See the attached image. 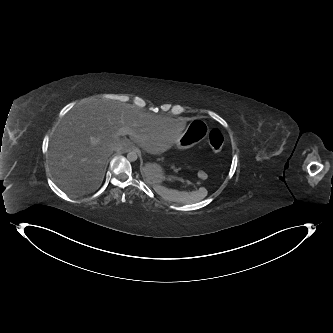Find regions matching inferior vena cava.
<instances>
[{"label":"inferior vena cava","mask_w":333,"mask_h":333,"mask_svg":"<svg viewBox=\"0 0 333 333\" xmlns=\"http://www.w3.org/2000/svg\"><path fill=\"white\" fill-rule=\"evenodd\" d=\"M113 150L119 151V150H120V147H119V146H115V147L113 148Z\"/></svg>","instance_id":"inferior-vena-cava-1"}]
</instances>
